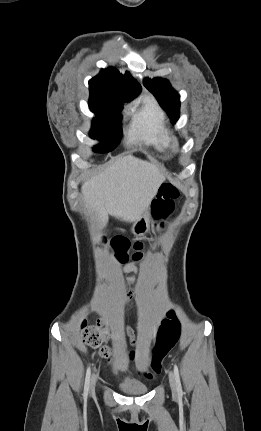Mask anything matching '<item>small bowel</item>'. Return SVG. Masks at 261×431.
<instances>
[{
  "label": "small bowel",
  "instance_id": "c3829d8e",
  "mask_svg": "<svg viewBox=\"0 0 261 431\" xmlns=\"http://www.w3.org/2000/svg\"><path fill=\"white\" fill-rule=\"evenodd\" d=\"M137 299L136 296V291H131V294L128 296V299H125V304H129V306H133V303L135 300ZM139 316H142V313H139ZM127 330H130V327H127ZM128 337L131 338L132 342L135 343V332L134 331H129L128 332Z\"/></svg>",
  "mask_w": 261,
  "mask_h": 431
}]
</instances>
